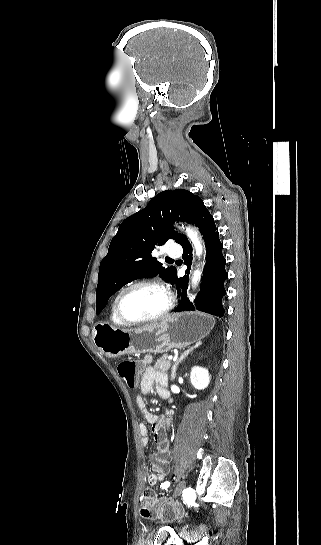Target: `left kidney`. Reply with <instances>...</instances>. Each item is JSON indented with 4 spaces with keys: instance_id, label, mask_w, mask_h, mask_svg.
<instances>
[{
    "instance_id": "1",
    "label": "left kidney",
    "mask_w": 321,
    "mask_h": 545,
    "mask_svg": "<svg viewBox=\"0 0 321 545\" xmlns=\"http://www.w3.org/2000/svg\"><path fill=\"white\" fill-rule=\"evenodd\" d=\"M191 383L195 389H206L210 383V375L207 369H202V367H193L190 375Z\"/></svg>"
}]
</instances>
